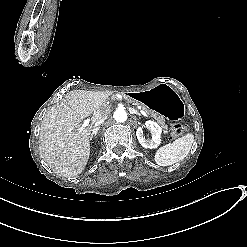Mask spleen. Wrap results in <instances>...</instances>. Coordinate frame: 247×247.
Returning <instances> with one entry per match:
<instances>
[{
    "mask_svg": "<svg viewBox=\"0 0 247 247\" xmlns=\"http://www.w3.org/2000/svg\"><path fill=\"white\" fill-rule=\"evenodd\" d=\"M194 135L188 133L174 142L160 147L155 154V162L159 166H170L183 160L190 152Z\"/></svg>",
    "mask_w": 247,
    "mask_h": 247,
    "instance_id": "3e777b00",
    "label": "spleen"
}]
</instances>
